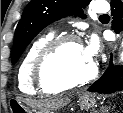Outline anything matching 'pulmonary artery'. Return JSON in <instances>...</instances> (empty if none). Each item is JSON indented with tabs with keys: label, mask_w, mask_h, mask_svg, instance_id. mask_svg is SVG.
<instances>
[{
	"label": "pulmonary artery",
	"mask_w": 123,
	"mask_h": 113,
	"mask_svg": "<svg viewBox=\"0 0 123 113\" xmlns=\"http://www.w3.org/2000/svg\"><path fill=\"white\" fill-rule=\"evenodd\" d=\"M109 9V5L106 1H98V2H95V5H94V11L96 13H106Z\"/></svg>",
	"instance_id": "obj_1"
}]
</instances>
